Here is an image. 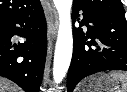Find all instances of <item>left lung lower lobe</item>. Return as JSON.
<instances>
[{"label": "left lung lower lobe", "instance_id": "obj_1", "mask_svg": "<svg viewBox=\"0 0 127 92\" xmlns=\"http://www.w3.org/2000/svg\"><path fill=\"white\" fill-rule=\"evenodd\" d=\"M83 11L78 28H73V56L67 76L72 92L83 78L105 70L127 71V21L125 17L92 12L73 5L72 19ZM87 27V32L81 28Z\"/></svg>", "mask_w": 127, "mask_h": 92}]
</instances>
